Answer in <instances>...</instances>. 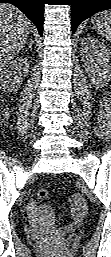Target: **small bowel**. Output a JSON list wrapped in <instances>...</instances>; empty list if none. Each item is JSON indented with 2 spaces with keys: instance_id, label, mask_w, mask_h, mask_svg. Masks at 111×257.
I'll return each mask as SVG.
<instances>
[{
  "instance_id": "obj_1",
  "label": "small bowel",
  "mask_w": 111,
  "mask_h": 257,
  "mask_svg": "<svg viewBox=\"0 0 111 257\" xmlns=\"http://www.w3.org/2000/svg\"><path fill=\"white\" fill-rule=\"evenodd\" d=\"M29 211H30L31 217L33 219H35V211H34V208L32 206L30 207Z\"/></svg>"
}]
</instances>
